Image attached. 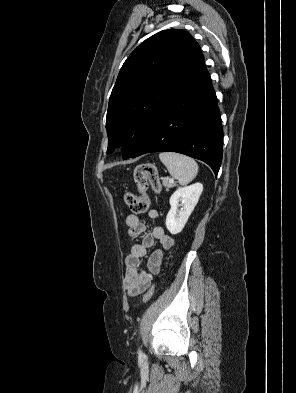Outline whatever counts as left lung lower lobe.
Returning a JSON list of instances; mask_svg holds the SVG:
<instances>
[{"label":"left lung lower lobe","instance_id":"1","mask_svg":"<svg viewBox=\"0 0 296 393\" xmlns=\"http://www.w3.org/2000/svg\"><path fill=\"white\" fill-rule=\"evenodd\" d=\"M222 146L217 98L204 65L169 103L129 158L156 151L178 152L204 161L217 176Z\"/></svg>","mask_w":296,"mask_h":393}]
</instances>
